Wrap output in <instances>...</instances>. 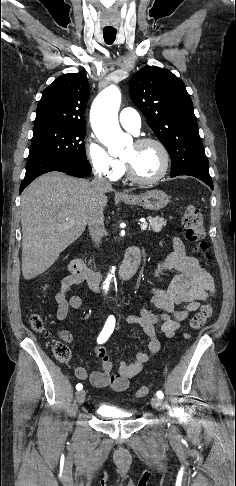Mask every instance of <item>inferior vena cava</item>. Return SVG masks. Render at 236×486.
<instances>
[{"label": "inferior vena cava", "instance_id": "inferior-vena-cava-1", "mask_svg": "<svg viewBox=\"0 0 236 486\" xmlns=\"http://www.w3.org/2000/svg\"><path fill=\"white\" fill-rule=\"evenodd\" d=\"M91 187L96 196L112 188L111 183L101 174H97L91 182ZM88 229L96 247L101 244V239L105 234L104 214L100 209H96L88 222Z\"/></svg>", "mask_w": 236, "mask_h": 486}]
</instances>
